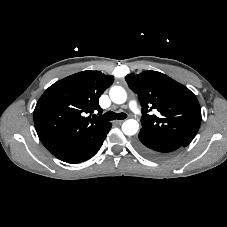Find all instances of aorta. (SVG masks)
<instances>
[{
    "instance_id": "1",
    "label": "aorta",
    "mask_w": 227,
    "mask_h": 227,
    "mask_svg": "<svg viewBox=\"0 0 227 227\" xmlns=\"http://www.w3.org/2000/svg\"><path fill=\"white\" fill-rule=\"evenodd\" d=\"M111 100L116 104H123L127 100V93L121 86H113L109 91ZM139 123L135 119H128L122 124V131L127 136H132L137 133Z\"/></svg>"
}]
</instances>
